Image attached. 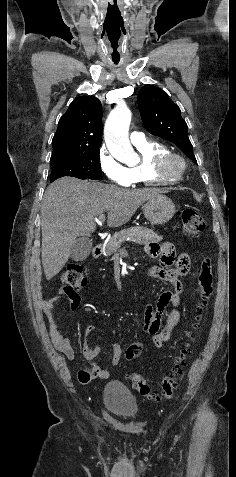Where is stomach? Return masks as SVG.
<instances>
[{"mask_svg": "<svg viewBox=\"0 0 236 477\" xmlns=\"http://www.w3.org/2000/svg\"><path fill=\"white\" fill-rule=\"evenodd\" d=\"M145 218L155 225H161L168 222L175 213V205L170 198L163 194L147 200L143 206Z\"/></svg>", "mask_w": 236, "mask_h": 477, "instance_id": "obj_1", "label": "stomach"}]
</instances>
